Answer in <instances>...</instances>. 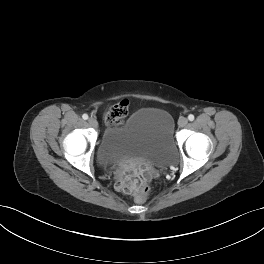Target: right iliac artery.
I'll return each instance as SVG.
<instances>
[{
	"label": "right iliac artery",
	"mask_w": 264,
	"mask_h": 264,
	"mask_svg": "<svg viewBox=\"0 0 264 264\" xmlns=\"http://www.w3.org/2000/svg\"><path fill=\"white\" fill-rule=\"evenodd\" d=\"M82 118H83L84 120H87V119H88V115H87V114H83V115H82Z\"/></svg>",
	"instance_id": "82829eb1"
}]
</instances>
